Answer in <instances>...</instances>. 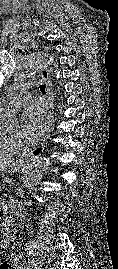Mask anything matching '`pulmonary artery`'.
I'll return each mask as SVG.
<instances>
[{
  "mask_svg": "<svg viewBox=\"0 0 118 269\" xmlns=\"http://www.w3.org/2000/svg\"><path fill=\"white\" fill-rule=\"evenodd\" d=\"M31 85V82H22L17 85L13 92L10 94V101L13 105H20L26 103L31 99V94L27 88Z\"/></svg>",
  "mask_w": 118,
  "mask_h": 269,
  "instance_id": "e3ab8cb5",
  "label": "pulmonary artery"
}]
</instances>
